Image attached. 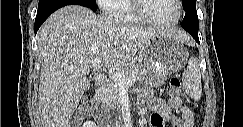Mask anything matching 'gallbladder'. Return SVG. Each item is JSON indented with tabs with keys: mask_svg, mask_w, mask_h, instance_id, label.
I'll list each match as a JSON object with an SVG mask.
<instances>
[{
	"mask_svg": "<svg viewBox=\"0 0 243 127\" xmlns=\"http://www.w3.org/2000/svg\"><path fill=\"white\" fill-rule=\"evenodd\" d=\"M89 86V81H88V83H87V87Z\"/></svg>",
	"mask_w": 243,
	"mask_h": 127,
	"instance_id": "gallbladder-1",
	"label": "gallbladder"
}]
</instances>
